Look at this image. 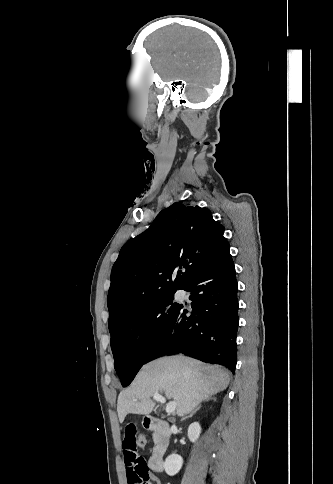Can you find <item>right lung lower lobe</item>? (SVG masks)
I'll return each mask as SVG.
<instances>
[{"instance_id":"right-lung-lower-lobe-1","label":"right lung lower lobe","mask_w":333,"mask_h":484,"mask_svg":"<svg viewBox=\"0 0 333 484\" xmlns=\"http://www.w3.org/2000/svg\"><path fill=\"white\" fill-rule=\"evenodd\" d=\"M226 245L183 290L191 292L192 312L179 305L168 329L144 364L164 355L183 353L209 363L236 367L238 302L236 272Z\"/></svg>"}]
</instances>
